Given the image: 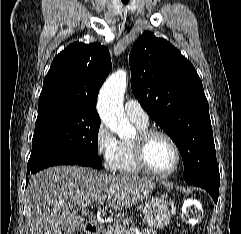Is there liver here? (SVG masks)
Returning <instances> with one entry per match:
<instances>
[{"label": "liver", "instance_id": "obj_1", "mask_svg": "<svg viewBox=\"0 0 241 234\" xmlns=\"http://www.w3.org/2000/svg\"><path fill=\"white\" fill-rule=\"evenodd\" d=\"M155 187L147 178L79 166L45 169L32 176L26 189L32 215L29 234H73L81 208L107 199L110 208L122 212L147 199Z\"/></svg>", "mask_w": 241, "mask_h": 234}]
</instances>
